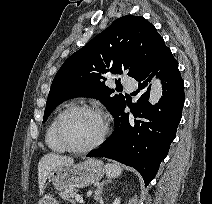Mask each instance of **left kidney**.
<instances>
[{
    "label": "left kidney",
    "mask_w": 212,
    "mask_h": 204,
    "mask_svg": "<svg viewBox=\"0 0 212 204\" xmlns=\"http://www.w3.org/2000/svg\"><path fill=\"white\" fill-rule=\"evenodd\" d=\"M121 203V200L120 198H116L113 202V204H120Z\"/></svg>",
    "instance_id": "1"
}]
</instances>
